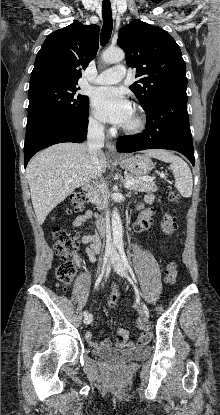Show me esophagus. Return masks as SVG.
Returning <instances> with one entry per match:
<instances>
[{
    "label": "esophagus",
    "mask_w": 220,
    "mask_h": 415,
    "mask_svg": "<svg viewBox=\"0 0 220 415\" xmlns=\"http://www.w3.org/2000/svg\"><path fill=\"white\" fill-rule=\"evenodd\" d=\"M106 143H107V148H108L109 153L116 154L117 150H116L115 142L109 134L106 135Z\"/></svg>",
    "instance_id": "esophagus-1"
}]
</instances>
